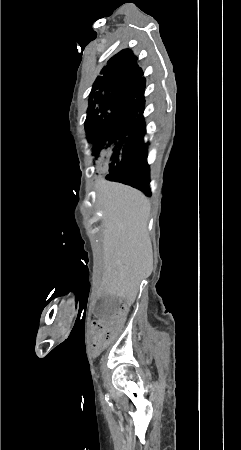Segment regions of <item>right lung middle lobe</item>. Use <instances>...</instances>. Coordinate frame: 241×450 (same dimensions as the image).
I'll return each mask as SVG.
<instances>
[{"instance_id": "1", "label": "right lung middle lobe", "mask_w": 241, "mask_h": 450, "mask_svg": "<svg viewBox=\"0 0 241 450\" xmlns=\"http://www.w3.org/2000/svg\"><path fill=\"white\" fill-rule=\"evenodd\" d=\"M145 101L122 99L107 85L94 83L85 130L94 144V166L111 171L143 140Z\"/></svg>"}]
</instances>
